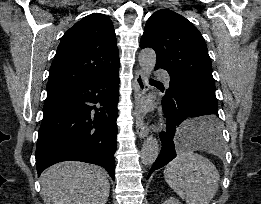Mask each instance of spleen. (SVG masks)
<instances>
[{"instance_id": "3e777b00", "label": "spleen", "mask_w": 261, "mask_h": 204, "mask_svg": "<svg viewBox=\"0 0 261 204\" xmlns=\"http://www.w3.org/2000/svg\"><path fill=\"white\" fill-rule=\"evenodd\" d=\"M207 118L188 120L180 127V131L189 133L193 149L213 151L219 144V139L211 141L195 137V127ZM164 178L186 204H209L218 190L220 175L207 158L188 149L180 151L165 167Z\"/></svg>"}]
</instances>
